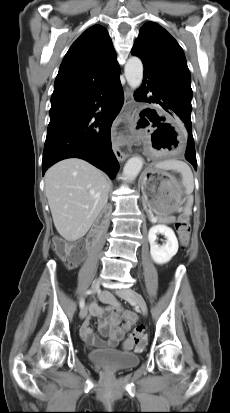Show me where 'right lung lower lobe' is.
Here are the masks:
<instances>
[{
  "instance_id": "right-lung-lower-lobe-1",
  "label": "right lung lower lobe",
  "mask_w": 230,
  "mask_h": 413,
  "mask_svg": "<svg viewBox=\"0 0 230 413\" xmlns=\"http://www.w3.org/2000/svg\"><path fill=\"white\" fill-rule=\"evenodd\" d=\"M123 102L119 73L86 95L51 102L43 175L60 160L81 158L114 179L119 163L112 151L110 129Z\"/></svg>"
}]
</instances>
